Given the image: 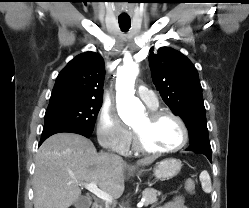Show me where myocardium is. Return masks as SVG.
I'll return each instance as SVG.
<instances>
[{"instance_id": "obj_1", "label": "myocardium", "mask_w": 249, "mask_h": 208, "mask_svg": "<svg viewBox=\"0 0 249 208\" xmlns=\"http://www.w3.org/2000/svg\"><path fill=\"white\" fill-rule=\"evenodd\" d=\"M147 117H148V120L150 123H155L156 121H158L159 119L164 118V117H169V118L174 119L179 124V126L181 128L182 140L174 148L152 149V148L148 147L147 145H145V143L143 142L141 134L138 131L134 130V145H135V148L139 152L145 153V154H155V155L169 154V153L177 152L186 146V144L189 141V131H188L186 123L183 121V119L180 116H178L175 113L168 111V110H150L147 113Z\"/></svg>"}]
</instances>
